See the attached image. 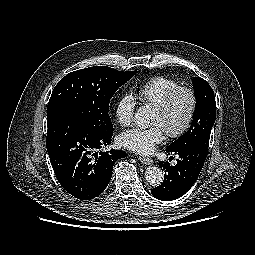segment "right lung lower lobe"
Instances as JSON below:
<instances>
[{
    "instance_id": "obj_1",
    "label": "right lung lower lobe",
    "mask_w": 255,
    "mask_h": 255,
    "mask_svg": "<svg viewBox=\"0 0 255 255\" xmlns=\"http://www.w3.org/2000/svg\"><path fill=\"white\" fill-rule=\"evenodd\" d=\"M46 146L54 173L72 196L90 200L101 194L112 177L122 150H96L111 143L112 133H98L77 116L58 110L47 117Z\"/></svg>"
}]
</instances>
